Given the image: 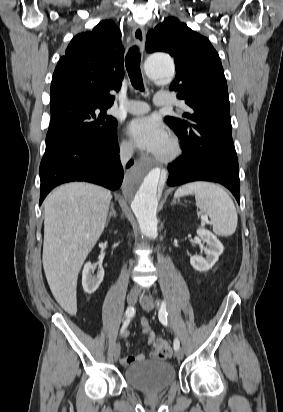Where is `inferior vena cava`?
<instances>
[{"label":"inferior vena cava","mask_w":283,"mask_h":412,"mask_svg":"<svg viewBox=\"0 0 283 412\" xmlns=\"http://www.w3.org/2000/svg\"><path fill=\"white\" fill-rule=\"evenodd\" d=\"M133 155L132 146H123L120 149V160L123 165H125Z\"/></svg>","instance_id":"1"}]
</instances>
